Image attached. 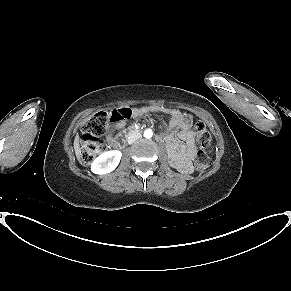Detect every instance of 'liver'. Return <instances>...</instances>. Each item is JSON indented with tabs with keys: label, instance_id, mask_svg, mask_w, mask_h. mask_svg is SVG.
<instances>
[{
	"label": "liver",
	"instance_id": "1",
	"mask_svg": "<svg viewBox=\"0 0 291 291\" xmlns=\"http://www.w3.org/2000/svg\"><path fill=\"white\" fill-rule=\"evenodd\" d=\"M74 150H75L76 157L79 160L81 158V151L79 147V135H77L74 140Z\"/></svg>",
	"mask_w": 291,
	"mask_h": 291
}]
</instances>
